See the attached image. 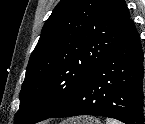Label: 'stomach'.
Returning a JSON list of instances; mask_svg holds the SVG:
<instances>
[{"label": "stomach", "instance_id": "obj_1", "mask_svg": "<svg viewBox=\"0 0 145 124\" xmlns=\"http://www.w3.org/2000/svg\"><path fill=\"white\" fill-rule=\"evenodd\" d=\"M70 121L72 122L71 124H101L100 121L92 117H82Z\"/></svg>", "mask_w": 145, "mask_h": 124}]
</instances>
